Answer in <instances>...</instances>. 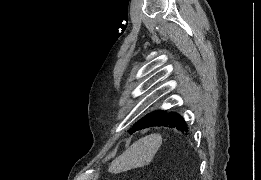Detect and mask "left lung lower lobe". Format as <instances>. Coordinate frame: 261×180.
<instances>
[{"instance_id":"obj_1","label":"left lung lower lobe","mask_w":261,"mask_h":180,"mask_svg":"<svg viewBox=\"0 0 261 180\" xmlns=\"http://www.w3.org/2000/svg\"><path fill=\"white\" fill-rule=\"evenodd\" d=\"M152 126H164L169 128H175L182 132L188 130L184 119L174 112H164L150 127Z\"/></svg>"}]
</instances>
